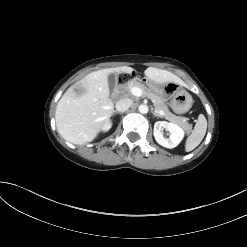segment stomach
Masks as SVG:
<instances>
[{
  "label": "stomach",
  "instance_id": "stomach-1",
  "mask_svg": "<svg viewBox=\"0 0 247 247\" xmlns=\"http://www.w3.org/2000/svg\"><path fill=\"white\" fill-rule=\"evenodd\" d=\"M161 93L170 98V106L176 114H184L192 107V96L177 83L165 84Z\"/></svg>",
  "mask_w": 247,
  "mask_h": 247
}]
</instances>
